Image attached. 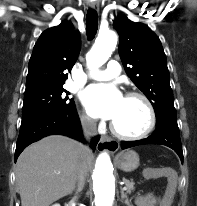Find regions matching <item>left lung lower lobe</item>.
Wrapping results in <instances>:
<instances>
[{
    "label": "left lung lower lobe",
    "mask_w": 197,
    "mask_h": 206,
    "mask_svg": "<svg viewBox=\"0 0 197 206\" xmlns=\"http://www.w3.org/2000/svg\"><path fill=\"white\" fill-rule=\"evenodd\" d=\"M145 144H161L172 148L180 157L183 163L182 144L180 140L178 126L165 124L154 131L148 138L137 141H121V148H131L138 145Z\"/></svg>",
    "instance_id": "1"
}]
</instances>
